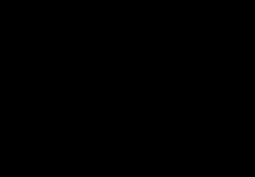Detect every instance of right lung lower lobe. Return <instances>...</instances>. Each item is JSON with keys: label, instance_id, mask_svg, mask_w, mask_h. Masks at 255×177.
<instances>
[{"label": "right lung lower lobe", "instance_id": "right-lung-lower-lobe-1", "mask_svg": "<svg viewBox=\"0 0 255 177\" xmlns=\"http://www.w3.org/2000/svg\"><path fill=\"white\" fill-rule=\"evenodd\" d=\"M101 115H102V113L99 112V111L97 113H95L94 116L92 118H90V120H89L87 125H91L92 121H94L95 119H98L99 117H101Z\"/></svg>", "mask_w": 255, "mask_h": 177}]
</instances>
